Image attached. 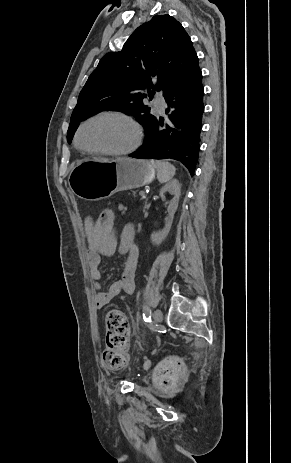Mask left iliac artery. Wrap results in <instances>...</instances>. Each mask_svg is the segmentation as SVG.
Listing matches in <instances>:
<instances>
[{
	"label": "left iliac artery",
	"instance_id": "44dca946",
	"mask_svg": "<svg viewBox=\"0 0 291 463\" xmlns=\"http://www.w3.org/2000/svg\"><path fill=\"white\" fill-rule=\"evenodd\" d=\"M143 319L145 322H149L151 320V310L148 307L144 308Z\"/></svg>",
	"mask_w": 291,
	"mask_h": 463
}]
</instances>
